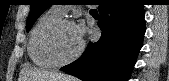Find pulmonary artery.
<instances>
[{
    "label": "pulmonary artery",
    "mask_w": 169,
    "mask_h": 81,
    "mask_svg": "<svg viewBox=\"0 0 169 81\" xmlns=\"http://www.w3.org/2000/svg\"><path fill=\"white\" fill-rule=\"evenodd\" d=\"M52 10H54L60 16H63L66 13V10L62 6H55L52 8Z\"/></svg>",
    "instance_id": "obj_1"
}]
</instances>
